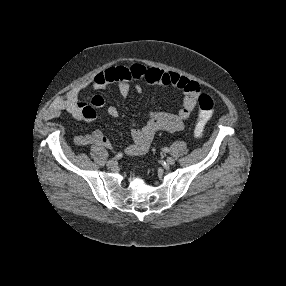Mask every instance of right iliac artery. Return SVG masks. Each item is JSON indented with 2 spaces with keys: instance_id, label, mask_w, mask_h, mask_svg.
<instances>
[{
  "instance_id": "82829eb1",
  "label": "right iliac artery",
  "mask_w": 286,
  "mask_h": 286,
  "mask_svg": "<svg viewBox=\"0 0 286 286\" xmlns=\"http://www.w3.org/2000/svg\"><path fill=\"white\" fill-rule=\"evenodd\" d=\"M123 158V153H117V155L113 159Z\"/></svg>"
}]
</instances>
